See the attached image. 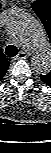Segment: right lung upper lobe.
I'll return each mask as SVG.
<instances>
[{"mask_svg":"<svg viewBox=\"0 0 51 153\" xmlns=\"http://www.w3.org/2000/svg\"><path fill=\"white\" fill-rule=\"evenodd\" d=\"M8 66H9V62L0 49V81L4 77L6 71L8 70Z\"/></svg>","mask_w":51,"mask_h":153,"instance_id":"right-lung-upper-lobe-1","label":"right lung upper lobe"}]
</instances>
